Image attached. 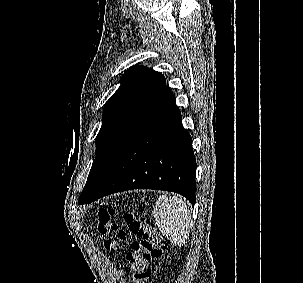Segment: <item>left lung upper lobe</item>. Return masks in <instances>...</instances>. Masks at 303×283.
Here are the masks:
<instances>
[{"instance_id":"1","label":"left lung upper lobe","mask_w":303,"mask_h":283,"mask_svg":"<svg viewBox=\"0 0 303 283\" xmlns=\"http://www.w3.org/2000/svg\"><path fill=\"white\" fill-rule=\"evenodd\" d=\"M104 105L97 153L82 194L96 191L107 179L127 142L158 96L165 78L144 66H133Z\"/></svg>"}]
</instances>
